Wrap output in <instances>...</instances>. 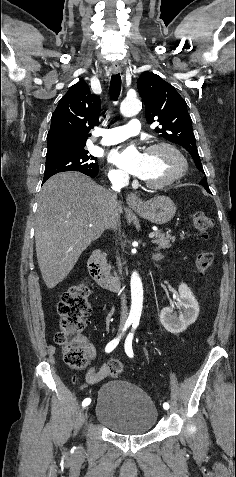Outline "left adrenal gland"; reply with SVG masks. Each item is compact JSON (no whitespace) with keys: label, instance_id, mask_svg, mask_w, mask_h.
<instances>
[{"label":"left adrenal gland","instance_id":"a2214340","mask_svg":"<svg viewBox=\"0 0 236 477\" xmlns=\"http://www.w3.org/2000/svg\"><path fill=\"white\" fill-rule=\"evenodd\" d=\"M156 260H160L162 256L160 254L153 255Z\"/></svg>","mask_w":236,"mask_h":477}]
</instances>
